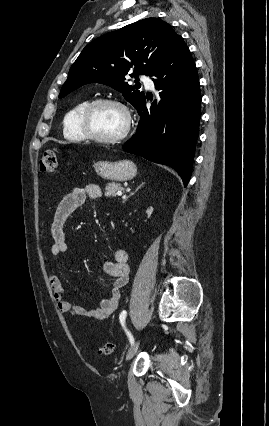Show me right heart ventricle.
<instances>
[{
  "label": "right heart ventricle",
  "instance_id": "e07e8e85",
  "mask_svg": "<svg viewBox=\"0 0 269 426\" xmlns=\"http://www.w3.org/2000/svg\"><path fill=\"white\" fill-rule=\"evenodd\" d=\"M89 102V99L81 100L66 112L63 119L64 136L66 138L74 141H84L87 139L81 128L80 118Z\"/></svg>",
  "mask_w": 269,
  "mask_h": 426
}]
</instances>
